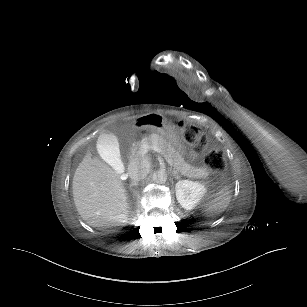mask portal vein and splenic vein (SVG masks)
<instances>
[{
	"label": "portal vein and splenic vein",
	"instance_id": "obj_1",
	"mask_svg": "<svg viewBox=\"0 0 307 307\" xmlns=\"http://www.w3.org/2000/svg\"><path fill=\"white\" fill-rule=\"evenodd\" d=\"M148 149H151V150H153V151H155V152H157V153H161L160 155L163 157L165 154L162 152V149L157 145V144H152L151 146H149L148 148H142L141 149V154L142 155H147L148 154ZM168 163L170 162L169 160L167 161ZM172 167H174L175 169H176V171L178 172L179 170H178V168L176 167V165L175 164H173L172 162H170L169 163Z\"/></svg>",
	"mask_w": 307,
	"mask_h": 307
}]
</instances>
